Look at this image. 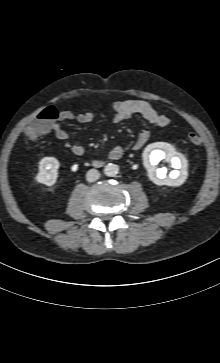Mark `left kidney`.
<instances>
[{
	"mask_svg": "<svg viewBox=\"0 0 220 363\" xmlns=\"http://www.w3.org/2000/svg\"><path fill=\"white\" fill-rule=\"evenodd\" d=\"M143 164L148 172L149 179L156 185L181 186L188 176V161L177 153L175 148L166 142L149 144L143 151ZM170 162L174 168L167 176L166 168H158L157 164L162 160Z\"/></svg>",
	"mask_w": 220,
	"mask_h": 363,
	"instance_id": "5707ae66",
	"label": "left kidney"
}]
</instances>
